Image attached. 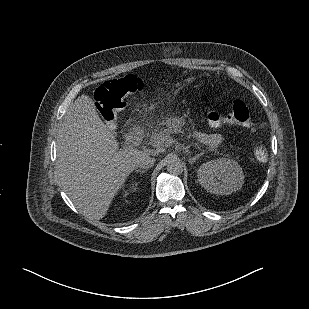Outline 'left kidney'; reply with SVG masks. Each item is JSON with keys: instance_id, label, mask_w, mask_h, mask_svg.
<instances>
[{"instance_id": "left-kidney-1", "label": "left kidney", "mask_w": 309, "mask_h": 309, "mask_svg": "<svg viewBox=\"0 0 309 309\" xmlns=\"http://www.w3.org/2000/svg\"><path fill=\"white\" fill-rule=\"evenodd\" d=\"M199 184L208 192L229 195L244 183L240 165L232 159L220 158L203 163L197 172Z\"/></svg>"}]
</instances>
